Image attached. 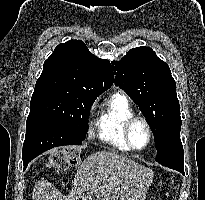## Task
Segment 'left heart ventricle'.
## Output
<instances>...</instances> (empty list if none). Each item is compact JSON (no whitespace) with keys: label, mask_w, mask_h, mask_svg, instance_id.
<instances>
[{"label":"left heart ventricle","mask_w":205,"mask_h":200,"mask_svg":"<svg viewBox=\"0 0 205 200\" xmlns=\"http://www.w3.org/2000/svg\"><path fill=\"white\" fill-rule=\"evenodd\" d=\"M131 140L135 147L142 148L147 144L148 131L142 122H136L131 129Z\"/></svg>","instance_id":"b2bd125f"}]
</instances>
